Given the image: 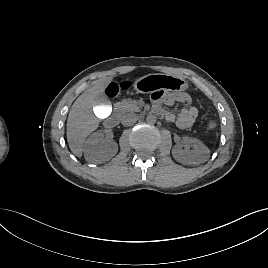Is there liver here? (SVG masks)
Returning <instances> with one entry per match:
<instances>
[{"label":"liver","instance_id":"6515ba94","mask_svg":"<svg viewBox=\"0 0 268 268\" xmlns=\"http://www.w3.org/2000/svg\"><path fill=\"white\" fill-rule=\"evenodd\" d=\"M110 82L104 79L84 91L73 103L67 119V141L70 150L77 157L82 156L85 139L99 126V119L93 110Z\"/></svg>","mask_w":268,"mask_h":268}]
</instances>
